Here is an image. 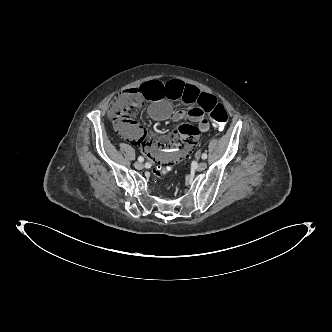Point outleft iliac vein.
<instances>
[{
    "instance_id": "1",
    "label": "left iliac vein",
    "mask_w": 332,
    "mask_h": 332,
    "mask_svg": "<svg viewBox=\"0 0 332 332\" xmlns=\"http://www.w3.org/2000/svg\"><path fill=\"white\" fill-rule=\"evenodd\" d=\"M207 168V163L206 162H200L196 165V170L197 171H203Z\"/></svg>"
}]
</instances>
